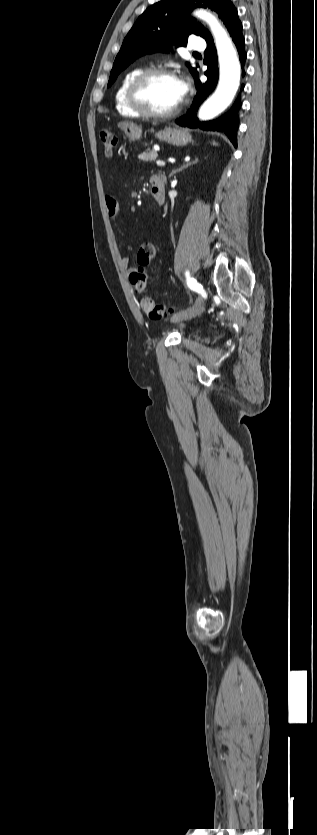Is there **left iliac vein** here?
Here are the masks:
<instances>
[{"instance_id":"left-iliac-vein-1","label":"left iliac vein","mask_w":317,"mask_h":835,"mask_svg":"<svg viewBox=\"0 0 317 835\" xmlns=\"http://www.w3.org/2000/svg\"><path fill=\"white\" fill-rule=\"evenodd\" d=\"M203 310H204V299H203L202 296H199L197 298L195 304L191 308L174 314L171 318V321L172 322H180V321H186V320L192 319V318L198 316L199 314H201Z\"/></svg>"}]
</instances>
